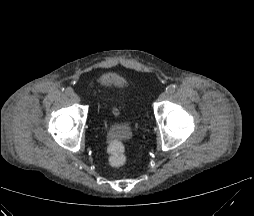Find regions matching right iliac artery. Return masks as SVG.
Here are the masks:
<instances>
[{
	"label": "right iliac artery",
	"mask_w": 254,
	"mask_h": 216,
	"mask_svg": "<svg viewBox=\"0 0 254 216\" xmlns=\"http://www.w3.org/2000/svg\"><path fill=\"white\" fill-rule=\"evenodd\" d=\"M65 93L69 96H72L74 94L73 89L70 87L65 89Z\"/></svg>",
	"instance_id": "obj_1"
}]
</instances>
